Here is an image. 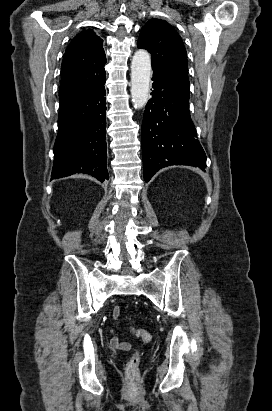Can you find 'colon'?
<instances>
[{"instance_id": "1", "label": "colon", "mask_w": 272, "mask_h": 411, "mask_svg": "<svg viewBox=\"0 0 272 411\" xmlns=\"http://www.w3.org/2000/svg\"><path fill=\"white\" fill-rule=\"evenodd\" d=\"M133 332L143 341L150 342L152 335L149 331L144 329H133ZM139 365H140V355L135 353L128 360L126 365L127 383L129 387H137L139 384Z\"/></svg>"}]
</instances>
